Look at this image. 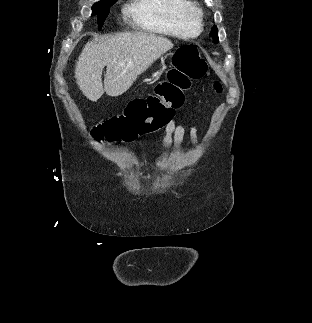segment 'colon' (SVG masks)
Here are the masks:
<instances>
[{"label":"colon","mask_w":312,"mask_h":323,"mask_svg":"<svg viewBox=\"0 0 312 323\" xmlns=\"http://www.w3.org/2000/svg\"><path fill=\"white\" fill-rule=\"evenodd\" d=\"M206 70L207 64L196 46L177 48L166 79L156 87V94L131 101L123 115L95 126L91 131L93 141L125 143L165 127L173 121L174 112L184 104L185 91L190 89L191 80L201 79ZM214 89L221 91L222 87L214 83Z\"/></svg>","instance_id":"obj_1"}]
</instances>
